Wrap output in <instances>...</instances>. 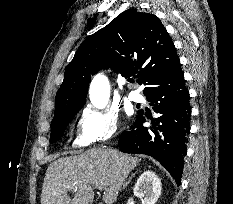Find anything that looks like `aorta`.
<instances>
[{
  "mask_svg": "<svg viewBox=\"0 0 233 204\" xmlns=\"http://www.w3.org/2000/svg\"><path fill=\"white\" fill-rule=\"evenodd\" d=\"M89 97L94 107L98 109L106 107L110 97V85L106 76L103 74L94 76L89 88Z\"/></svg>",
  "mask_w": 233,
  "mask_h": 204,
  "instance_id": "aorta-1",
  "label": "aorta"
}]
</instances>
